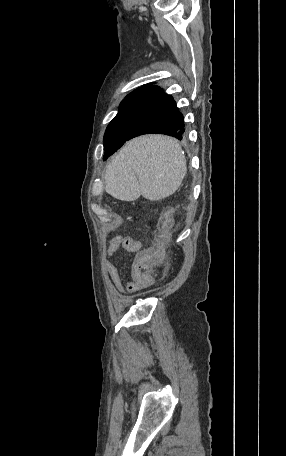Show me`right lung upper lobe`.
I'll use <instances>...</instances> for the list:
<instances>
[{"label": "right lung upper lobe", "mask_w": 286, "mask_h": 456, "mask_svg": "<svg viewBox=\"0 0 286 456\" xmlns=\"http://www.w3.org/2000/svg\"><path fill=\"white\" fill-rule=\"evenodd\" d=\"M146 86H149V85H146ZM146 86H142V87H140V88H143V87H146ZM140 88H138V89H140ZM136 90H137V89H136ZM134 91H135V90H134Z\"/></svg>", "instance_id": "cb5924a9"}]
</instances>
